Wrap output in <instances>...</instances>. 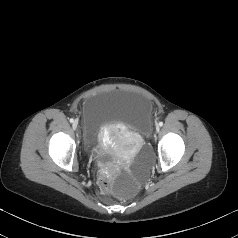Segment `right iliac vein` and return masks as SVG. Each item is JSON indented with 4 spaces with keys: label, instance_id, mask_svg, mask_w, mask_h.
Wrapping results in <instances>:
<instances>
[{
    "label": "right iliac vein",
    "instance_id": "right-iliac-vein-1",
    "mask_svg": "<svg viewBox=\"0 0 238 238\" xmlns=\"http://www.w3.org/2000/svg\"><path fill=\"white\" fill-rule=\"evenodd\" d=\"M72 127H73L74 130L77 129V127H78V121H77V120H75V121L73 122Z\"/></svg>",
    "mask_w": 238,
    "mask_h": 238
}]
</instances>
